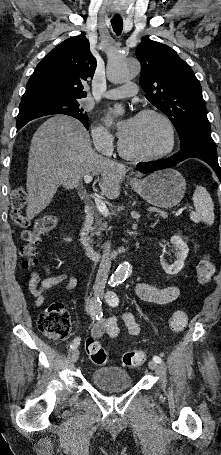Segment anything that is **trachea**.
Wrapping results in <instances>:
<instances>
[{
  "mask_svg": "<svg viewBox=\"0 0 221 455\" xmlns=\"http://www.w3.org/2000/svg\"><path fill=\"white\" fill-rule=\"evenodd\" d=\"M111 25L113 27V31L116 35H120L123 29V20L120 17H115L111 20Z\"/></svg>",
  "mask_w": 221,
  "mask_h": 455,
  "instance_id": "obj_1",
  "label": "trachea"
}]
</instances>
